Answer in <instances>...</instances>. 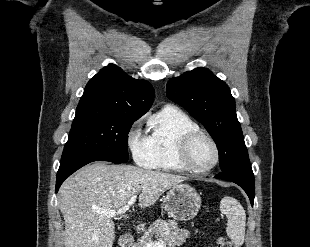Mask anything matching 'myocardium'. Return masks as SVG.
<instances>
[{
  "mask_svg": "<svg viewBox=\"0 0 310 247\" xmlns=\"http://www.w3.org/2000/svg\"><path fill=\"white\" fill-rule=\"evenodd\" d=\"M199 138L207 139L211 143L215 151L214 162L211 165L204 167V168L195 167L191 163V158H190L192 146L194 142ZM178 155L185 170L192 174H196V175L205 174L211 171L213 168L217 166V164L220 161V149H219L217 142L214 140V138L211 135H209L208 133H206L205 131L201 129L189 131L181 137Z\"/></svg>",
  "mask_w": 310,
  "mask_h": 247,
  "instance_id": "1",
  "label": "myocardium"
}]
</instances>
